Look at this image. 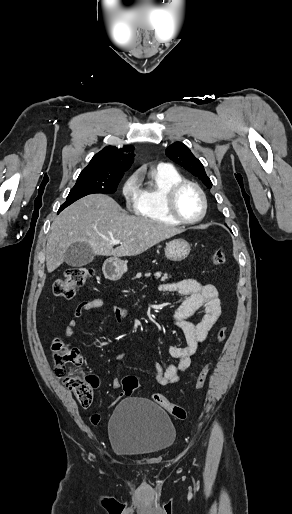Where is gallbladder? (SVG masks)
Returning a JSON list of instances; mask_svg holds the SVG:
<instances>
[{"label":"gallbladder","mask_w":292,"mask_h":514,"mask_svg":"<svg viewBox=\"0 0 292 514\" xmlns=\"http://www.w3.org/2000/svg\"><path fill=\"white\" fill-rule=\"evenodd\" d=\"M94 256L95 254L89 244H85V242H75V244H71V246L67 248L64 260L68 266L81 268V266H86V264L93 262Z\"/></svg>","instance_id":"1"}]
</instances>
